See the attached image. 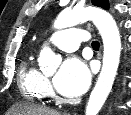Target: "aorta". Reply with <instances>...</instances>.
<instances>
[{
    "label": "aorta",
    "mask_w": 131,
    "mask_h": 115,
    "mask_svg": "<svg viewBox=\"0 0 131 115\" xmlns=\"http://www.w3.org/2000/svg\"><path fill=\"white\" fill-rule=\"evenodd\" d=\"M88 20H91L98 28L104 46L102 69L86 106V115H97L111 91L119 66L121 40L116 22L105 10L87 7L61 12L54 27L56 29L67 28ZM57 64L54 52L49 47H44L39 56V66L42 72L53 73Z\"/></svg>",
    "instance_id": "aorta-1"
}]
</instances>
